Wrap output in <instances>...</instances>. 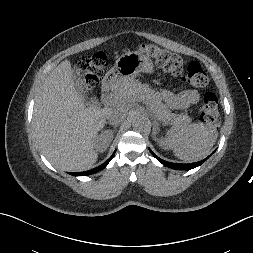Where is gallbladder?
Wrapping results in <instances>:
<instances>
[{
    "label": "gallbladder",
    "mask_w": 253,
    "mask_h": 253,
    "mask_svg": "<svg viewBox=\"0 0 253 253\" xmlns=\"http://www.w3.org/2000/svg\"><path fill=\"white\" fill-rule=\"evenodd\" d=\"M73 74V80H74V87L76 91L79 93V95L85 99V85L80 78V70L77 66H74V69L72 71ZM97 104V101L95 98H91L90 101H87V105L94 106Z\"/></svg>",
    "instance_id": "gallbladder-1"
}]
</instances>
